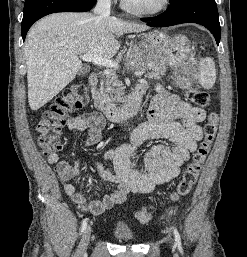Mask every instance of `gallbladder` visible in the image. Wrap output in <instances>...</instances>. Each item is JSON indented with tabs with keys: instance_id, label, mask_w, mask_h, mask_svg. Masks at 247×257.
Instances as JSON below:
<instances>
[{
	"instance_id": "1",
	"label": "gallbladder",
	"mask_w": 247,
	"mask_h": 257,
	"mask_svg": "<svg viewBox=\"0 0 247 257\" xmlns=\"http://www.w3.org/2000/svg\"><path fill=\"white\" fill-rule=\"evenodd\" d=\"M88 73H89V69H88L87 67H83V68L79 71L78 75H79V76H85V75H87Z\"/></svg>"
}]
</instances>
